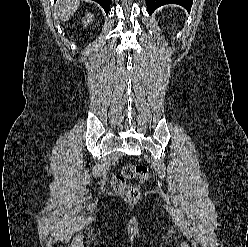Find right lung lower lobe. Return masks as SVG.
<instances>
[{
    "label": "right lung lower lobe",
    "mask_w": 248,
    "mask_h": 247,
    "mask_svg": "<svg viewBox=\"0 0 248 247\" xmlns=\"http://www.w3.org/2000/svg\"><path fill=\"white\" fill-rule=\"evenodd\" d=\"M94 1L99 3L105 10L106 14H108L109 9H110V0H94Z\"/></svg>",
    "instance_id": "98d812e1"
}]
</instances>
